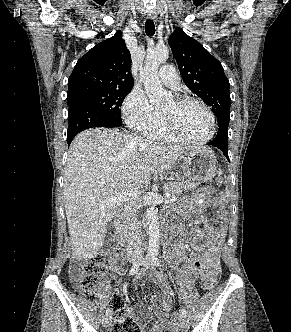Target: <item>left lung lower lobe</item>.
<instances>
[{
  "instance_id": "0a47b994",
  "label": "left lung lower lobe",
  "mask_w": 291,
  "mask_h": 332,
  "mask_svg": "<svg viewBox=\"0 0 291 332\" xmlns=\"http://www.w3.org/2000/svg\"><path fill=\"white\" fill-rule=\"evenodd\" d=\"M219 124V130L215 137V139L211 142H209V145L215 146L219 148L227 157H228V148H227V142H228V126L225 123V120H220L218 122Z\"/></svg>"
}]
</instances>
